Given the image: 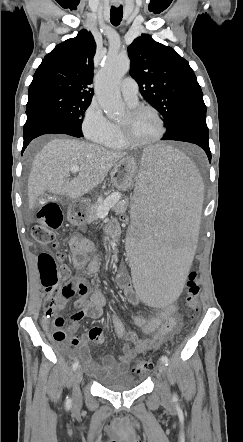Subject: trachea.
I'll use <instances>...</instances> for the list:
<instances>
[{"instance_id":"1","label":"trachea","mask_w":243,"mask_h":442,"mask_svg":"<svg viewBox=\"0 0 243 442\" xmlns=\"http://www.w3.org/2000/svg\"><path fill=\"white\" fill-rule=\"evenodd\" d=\"M122 17H123V7L122 6H120L118 8L111 7L110 20L114 26H118L120 24V22L122 21Z\"/></svg>"}]
</instances>
